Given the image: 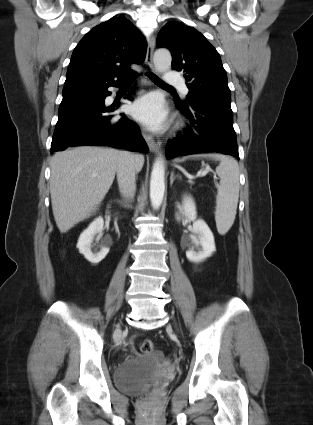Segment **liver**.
Listing matches in <instances>:
<instances>
[{
    "label": "liver",
    "mask_w": 313,
    "mask_h": 425,
    "mask_svg": "<svg viewBox=\"0 0 313 425\" xmlns=\"http://www.w3.org/2000/svg\"><path fill=\"white\" fill-rule=\"evenodd\" d=\"M128 152L103 147H76L51 160L50 194L56 225L65 233L89 218L110 189L120 158ZM136 171L144 157L133 154Z\"/></svg>",
    "instance_id": "liver-1"
}]
</instances>
